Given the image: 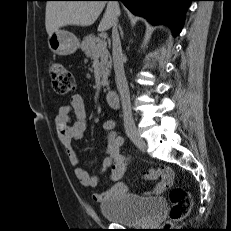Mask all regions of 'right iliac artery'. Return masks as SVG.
Instances as JSON below:
<instances>
[{
    "instance_id": "82829eb1",
    "label": "right iliac artery",
    "mask_w": 231,
    "mask_h": 231,
    "mask_svg": "<svg viewBox=\"0 0 231 231\" xmlns=\"http://www.w3.org/2000/svg\"><path fill=\"white\" fill-rule=\"evenodd\" d=\"M118 141L122 145L124 143V138L122 136H119Z\"/></svg>"
}]
</instances>
